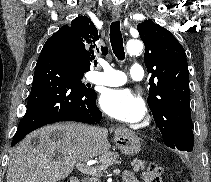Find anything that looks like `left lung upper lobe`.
<instances>
[{"label":"left lung upper lobe","instance_id":"5c2ea615","mask_svg":"<svg viewBox=\"0 0 211 182\" xmlns=\"http://www.w3.org/2000/svg\"><path fill=\"white\" fill-rule=\"evenodd\" d=\"M145 44L144 62L152 73L148 105L165 145L192 152L189 72L182 45L167 29L145 20L137 26Z\"/></svg>","mask_w":211,"mask_h":182}]
</instances>
